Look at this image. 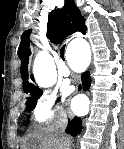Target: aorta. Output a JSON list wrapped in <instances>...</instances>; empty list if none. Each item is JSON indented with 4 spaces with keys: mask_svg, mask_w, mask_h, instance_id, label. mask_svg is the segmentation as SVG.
Instances as JSON below:
<instances>
[{
    "mask_svg": "<svg viewBox=\"0 0 124 149\" xmlns=\"http://www.w3.org/2000/svg\"><path fill=\"white\" fill-rule=\"evenodd\" d=\"M79 47L76 48V52L85 58H90V50L85 40H78L76 42ZM35 77L36 82L41 87H50L55 82V69L49 58L45 55H41L35 65Z\"/></svg>",
    "mask_w": 124,
    "mask_h": 149,
    "instance_id": "aorta-1",
    "label": "aorta"
}]
</instances>
